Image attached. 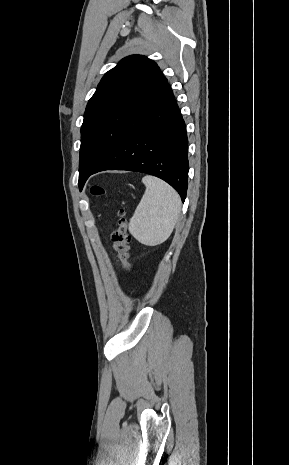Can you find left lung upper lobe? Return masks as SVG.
Here are the masks:
<instances>
[{
  "instance_id": "obj_1",
  "label": "left lung upper lobe",
  "mask_w": 289,
  "mask_h": 465,
  "mask_svg": "<svg viewBox=\"0 0 289 465\" xmlns=\"http://www.w3.org/2000/svg\"><path fill=\"white\" fill-rule=\"evenodd\" d=\"M166 82L157 64L141 55L122 59L103 76L84 113L79 188Z\"/></svg>"
}]
</instances>
